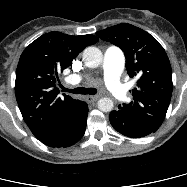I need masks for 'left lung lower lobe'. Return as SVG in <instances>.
I'll return each instance as SVG.
<instances>
[{
	"label": "left lung lower lobe",
	"instance_id": "left-lung-lower-lobe-1",
	"mask_svg": "<svg viewBox=\"0 0 187 187\" xmlns=\"http://www.w3.org/2000/svg\"><path fill=\"white\" fill-rule=\"evenodd\" d=\"M109 120L116 131L127 137L140 138L155 132L131 119L120 110H113L109 115Z\"/></svg>",
	"mask_w": 187,
	"mask_h": 187
}]
</instances>
